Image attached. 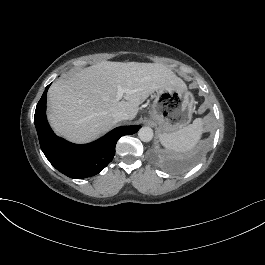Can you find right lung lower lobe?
Here are the masks:
<instances>
[{
	"label": "right lung lower lobe",
	"mask_w": 265,
	"mask_h": 265,
	"mask_svg": "<svg viewBox=\"0 0 265 265\" xmlns=\"http://www.w3.org/2000/svg\"><path fill=\"white\" fill-rule=\"evenodd\" d=\"M48 85L37 104L34 123L41 149L48 161L60 172L74 179L94 176L113 159L117 141L123 135L136 133L141 126L118 127L99 140L85 145L70 143L51 130L46 119Z\"/></svg>",
	"instance_id": "1"
}]
</instances>
